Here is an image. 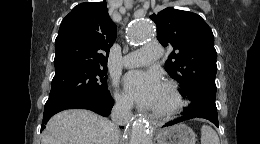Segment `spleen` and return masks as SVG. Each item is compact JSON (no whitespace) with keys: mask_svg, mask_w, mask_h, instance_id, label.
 <instances>
[{"mask_svg":"<svg viewBox=\"0 0 260 144\" xmlns=\"http://www.w3.org/2000/svg\"><path fill=\"white\" fill-rule=\"evenodd\" d=\"M217 133L208 125L201 127V144H219Z\"/></svg>","mask_w":260,"mask_h":144,"instance_id":"1","label":"spleen"}]
</instances>
